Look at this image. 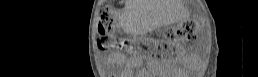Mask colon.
<instances>
[{"instance_id": "1", "label": "colon", "mask_w": 258, "mask_h": 77, "mask_svg": "<svg viewBox=\"0 0 258 77\" xmlns=\"http://www.w3.org/2000/svg\"><path fill=\"white\" fill-rule=\"evenodd\" d=\"M118 28L117 14L108 7L99 10L98 34L100 43L103 45L113 37ZM197 29L191 20H185L180 26L171 30L168 37L172 40H188L196 37Z\"/></svg>"}]
</instances>
